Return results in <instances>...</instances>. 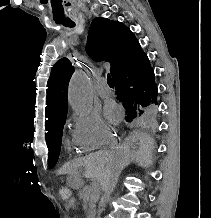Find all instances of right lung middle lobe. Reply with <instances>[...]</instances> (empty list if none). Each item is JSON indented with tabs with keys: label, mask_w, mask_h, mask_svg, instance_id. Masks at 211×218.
<instances>
[{
	"label": "right lung middle lobe",
	"mask_w": 211,
	"mask_h": 218,
	"mask_svg": "<svg viewBox=\"0 0 211 218\" xmlns=\"http://www.w3.org/2000/svg\"><path fill=\"white\" fill-rule=\"evenodd\" d=\"M125 108L126 121H132V119L140 116L144 113H152L157 109L158 102L149 103L143 100L130 97L117 98ZM66 116L62 117L55 123L52 130L46 135L47 146L49 149V168H53L58 160L62 129L65 124Z\"/></svg>",
	"instance_id": "dd1d6c3e"
}]
</instances>
